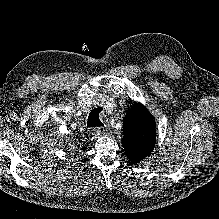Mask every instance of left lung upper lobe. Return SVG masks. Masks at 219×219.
Wrapping results in <instances>:
<instances>
[{
	"instance_id": "obj_1",
	"label": "left lung upper lobe",
	"mask_w": 219,
	"mask_h": 219,
	"mask_svg": "<svg viewBox=\"0 0 219 219\" xmlns=\"http://www.w3.org/2000/svg\"><path fill=\"white\" fill-rule=\"evenodd\" d=\"M123 147L128 159L137 164L147 157L155 146V121L141 104H135L124 118Z\"/></svg>"
}]
</instances>
